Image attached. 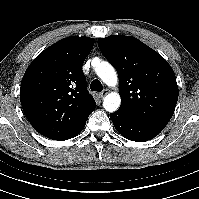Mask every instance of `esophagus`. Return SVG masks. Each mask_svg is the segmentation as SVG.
I'll return each mask as SVG.
<instances>
[{"label":"esophagus","instance_id":"obj_1","mask_svg":"<svg viewBox=\"0 0 199 199\" xmlns=\"http://www.w3.org/2000/svg\"><path fill=\"white\" fill-rule=\"evenodd\" d=\"M107 94H108V90L105 89V90H103L102 92L99 93V97H100V98H103V97L106 96Z\"/></svg>","mask_w":199,"mask_h":199}]
</instances>
